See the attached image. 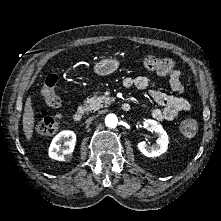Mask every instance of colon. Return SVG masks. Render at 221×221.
<instances>
[{
	"instance_id": "5ec220e1",
	"label": "colon",
	"mask_w": 221,
	"mask_h": 221,
	"mask_svg": "<svg viewBox=\"0 0 221 221\" xmlns=\"http://www.w3.org/2000/svg\"><path fill=\"white\" fill-rule=\"evenodd\" d=\"M144 66L159 75L173 76L176 72L175 64L172 59L159 56H148L144 59ZM58 78L55 74L47 76L41 88V95L46 104L51 108H59L61 105L60 97L56 92ZM62 121L60 113H42L39 117L36 130L41 135L54 134ZM198 131V121L194 117H187L180 124V133L183 138H191Z\"/></svg>"
}]
</instances>
